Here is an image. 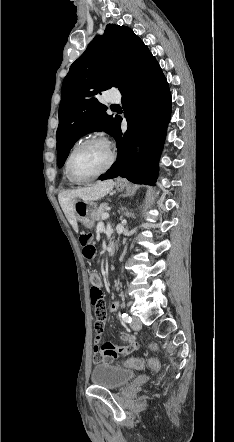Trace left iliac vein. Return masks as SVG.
Instances as JSON below:
<instances>
[{"label":"left iliac vein","instance_id":"1","mask_svg":"<svg viewBox=\"0 0 234 442\" xmlns=\"http://www.w3.org/2000/svg\"><path fill=\"white\" fill-rule=\"evenodd\" d=\"M130 325L133 330H139L142 327V322L138 317L135 316L133 317V320Z\"/></svg>","mask_w":234,"mask_h":442}]
</instances>
